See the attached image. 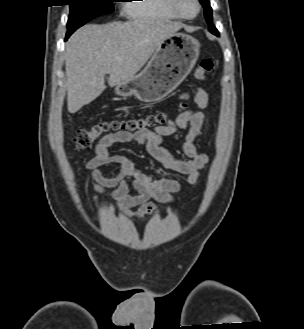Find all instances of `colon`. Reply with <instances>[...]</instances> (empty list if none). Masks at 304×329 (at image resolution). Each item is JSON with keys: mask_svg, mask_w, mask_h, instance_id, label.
<instances>
[{"mask_svg": "<svg viewBox=\"0 0 304 329\" xmlns=\"http://www.w3.org/2000/svg\"><path fill=\"white\" fill-rule=\"evenodd\" d=\"M214 62L211 59H203L195 70V78L202 81L212 71ZM185 105L182 104L181 107ZM169 120L165 112L151 113L141 117L124 121H102L93 124L88 129L79 130L74 136V143L78 149H88L92 144L103 137L116 132H131L148 134L153 130L164 126Z\"/></svg>", "mask_w": 304, "mask_h": 329, "instance_id": "1", "label": "colon"}]
</instances>
